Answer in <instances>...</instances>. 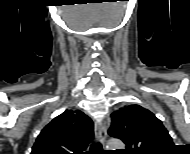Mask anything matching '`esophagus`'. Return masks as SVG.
<instances>
[{"label":"esophagus","mask_w":190,"mask_h":154,"mask_svg":"<svg viewBox=\"0 0 190 154\" xmlns=\"http://www.w3.org/2000/svg\"><path fill=\"white\" fill-rule=\"evenodd\" d=\"M95 138L97 142L104 144L107 138V130L101 122L95 123Z\"/></svg>","instance_id":"1"}]
</instances>
